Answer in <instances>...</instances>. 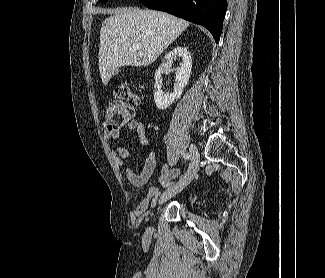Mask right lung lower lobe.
<instances>
[{"label":"right lung lower lobe","instance_id":"1","mask_svg":"<svg viewBox=\"0 0 325 278\" xmlns=\"http://www.w3.org/2000/svg\"><path fill=\"white\" fill-rule=\"evenodd\" d=\"M150 9L168 12L206 27L218 43L227 0H140Z\"/></svg>","mask_w":325,"mask_h":278}]
</instances>
